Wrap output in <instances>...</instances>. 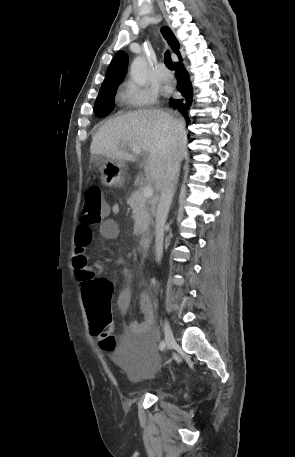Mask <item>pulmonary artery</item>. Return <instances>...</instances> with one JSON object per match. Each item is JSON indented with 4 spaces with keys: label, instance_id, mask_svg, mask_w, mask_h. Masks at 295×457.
<instances>
[{
    "label": "pulmonary artery",
    "instance_id": "obj_1",
    "mask_svg": "<svg viewBox=\"0 0 295 457\" xmlns=\"http://www.w3.org/2000/svg\"><path fill=\"white\" fill-rule=\"evenodd\" d=\"M158 75H159V78H160L162 81H169V80L171 79V74H170V72L167 70V68L165 67L164 64H161V65L159 66Z\"/></svg>",
    "mask_w": 295,
    "mask_h": 457
}]
</instances>
